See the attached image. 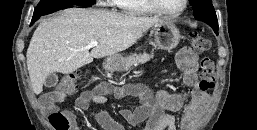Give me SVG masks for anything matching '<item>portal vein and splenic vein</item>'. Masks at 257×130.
Segmentation results:
<instances>
[{
	"mask_svg": "<svg viewBox=\"0 0 257 130\" xmlns=\"http://www.w3.org/2000/svg\"><path fill=\"white\" fill-rule=\"evenodd\" d=\"M98 45V41H91L88 46L85 47V50H89Z\"/></svg>",
	"mask_w": 257,
	"mask_h": 130,
	"instance_id": "18ae733b",
	"label": "portal vein and splenic vein"
}]
</instances>
